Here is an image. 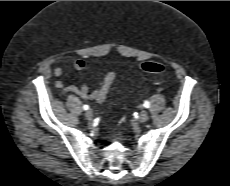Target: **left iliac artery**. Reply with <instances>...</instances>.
I'll return each mask as SVG.
<instances>
[{"label": "left iliac artery", "instance_id": "obj_1", "mask_svg": "<svg viewBox=\"0 0 230 186\" xmlns=\"http://www.w3.org/2000/svg\"><path fill=\"white\" fill-rule=\"evenodd\" d=\"M144 106H145L146 108H149V107H150V102H149V101H145V102H144Z\"/></svg>", "mask_w": 230, "mask_h": 186}]
</instances>
